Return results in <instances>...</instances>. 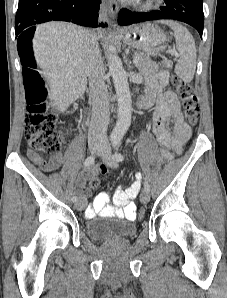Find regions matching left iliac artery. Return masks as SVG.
I'll return each instance as SVG.
<instances>
[{"label": "left iliac artery", "instance_id": "left-iliac-artery-1", "mask_svg": "<svg viewBox=\"0 0 227 298\" xmlns=\"http://www.w3.org/2000/svg\"><path fill=\"white\" fill-rule=\"evenodd\" d=\"M120 138H114L112 139V145H113V148L116 150L115 154L113 155V159L116 160V161H122L124 160V155H122L121 153L117 152V149H118V146L120 144ZM144 189L146 191H150V186L147 182L144 183Z\"/></svg>", "mask_w": 227, "mask_h": 298}]
</instances>
